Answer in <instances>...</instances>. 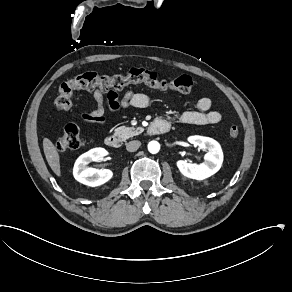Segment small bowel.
Returning <instances> with one entry per match:
<instances>
[{"label":"small bowel","mask_w":292,"mask_h":292,"mask_svg":"<svg viewBox=\"0 0 292 292\" xmlns=\"http://www.w3.org/2000/svg\"><path fill=\"white\" fill-rule=\"evenodd\" d=\"M92 99L95 107L93 109L81 108V119L90 124L104 126L106 124V112H118L128 108H145L150 103V96L146 93L130 90L120 96L115 90L104 91L100 88L92 90ZM222 115L219 111L212 109V102L207 97L197 101L196 110H189L180 116L182 123L205 125L217 124Z\"/></svg>","instance_id":"small-bowel-1"}]
</instances>
